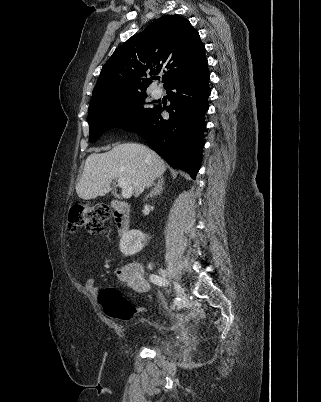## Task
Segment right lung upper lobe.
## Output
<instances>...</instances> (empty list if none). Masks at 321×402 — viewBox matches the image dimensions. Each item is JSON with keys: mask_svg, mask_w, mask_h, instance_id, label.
<instances>
[{"mask_svg": "<svg viewBox=\"0 0 321 402\" xmlns=\"http://www.w3.org/2000/svg\"><path fill=\"white\" fill-rule=\"evenodd\" d=\"M205 65V46L191 23L178 15L163 16L114 51L101 70L89 107L146 92L162 69H167L166 87Z\"/></svg>", "mask_w": 321, "mask_h": 402, "instance_id": "obj_1", "label": "right lung upper lobe"}]
</instances>
